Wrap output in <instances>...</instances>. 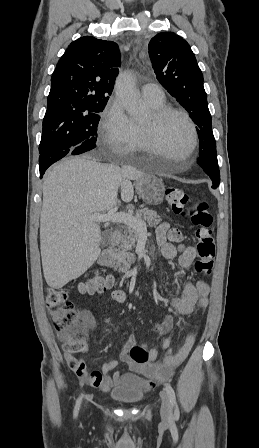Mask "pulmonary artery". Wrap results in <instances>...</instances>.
I'll return each mask as SVG.
<instances>
[{
    "label": "pulmonary artery",
    "mask_w": 259,
    "mask_h": 448,
    "mask_svg": "<svg viewBox=\"0 0 259 448\" xmlns=\"http://www.w3.org/2000/svg\"><path fill=\"white\" fill-rule=\"evenodd\" d=\"M142 97L151 102H159L164 100L165 92L159 84H146L141 88Z\"/></svg>",
    "instance_id": "1"
}]
</instances>
